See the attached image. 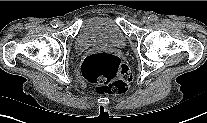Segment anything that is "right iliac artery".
<instances>
[{
	"label": "right iliac artery",
	"mask_w": 207,
	"mask_h": 123,
	"mask_svg": "<svg viewBox=\"0 0 207 123\" xmlns=\"http://www.w3.org/2000/svg\"><path fill=\"white\" fill-rule=\"evenodd\" d=\"M58 21L57 20H53L52 22H51V25H52V27H54V28H56V27H58Z\"/></svg>",
	"instance_id": "right-iliac-artery-1"
}]
</instances>
